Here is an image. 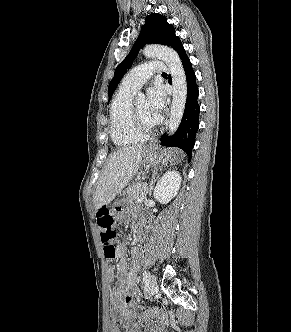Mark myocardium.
Wrapping results in <instances>:
<instances>
[{
  "label": "myocardium",
  "mask_w": 291,
  "mask_h": 332,
  "mask_svg": "<svg viewBox=\"0 0 291 332\" xmlns=\"http://www.w3.org/2000/svg\"><path fill=\"white\" fill-rule=\"evenodd\" d=\"M131 121L134 130L143 137L151 136L155 134L158 130L157 126L149 128L143 125L138 114L136 101L132 102L131 105Z\"/></svg>",
  "instance_id": "myocardium-1"
}]
</instances>
